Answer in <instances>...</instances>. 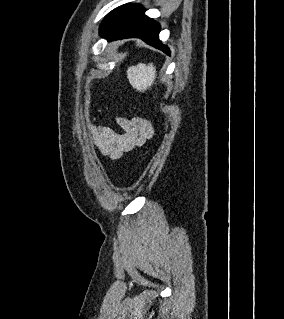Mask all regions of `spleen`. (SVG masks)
I'll use <instances>...</instances> for the list:
<instances>
[{"label": "spleen", "instance_id": "obj_1", "mask_svg": "<svg viewBox=\"0 0 284 319\" xmlns=\"http://www.w3.org/2000/svg\"><path fill=\"white\" fill-rule=\"evenodd\" d=\"M127 77L133 88L144 92L154 83L156 69L152 63L148 65L139 63L137 66H130L128 68Z\"/></svg>", "mask_w": 284, "mask_h": 319}]
</instances>
